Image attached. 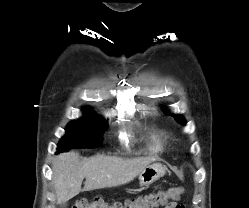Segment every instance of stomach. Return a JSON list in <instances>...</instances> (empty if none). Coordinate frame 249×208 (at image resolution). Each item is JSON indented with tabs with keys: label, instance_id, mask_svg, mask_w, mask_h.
<instances>
[{
	"label": "stomach",
	"instance_id": "obj_1",
	"mask_svg": "<svg viewBox=\"0 0 249 208\" xmlns=\"http://www.w3.org/2000/svg\"><path fill=\"white\" fill-rule=\"evenodd\" d=\"M165 173L166 168L161 163L150 164L139 173V184L140 186H149L163 177Z\"/></svg>",
	"mask_w": 249,
	"mask_h": 208
}]
</instances>
